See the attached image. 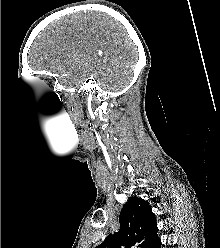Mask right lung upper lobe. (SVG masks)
<instances>
[{"label": "right lung upper lobe", "mask_w": 220, "mask_h": 248, "mask_svg": "<svg viewBox=\"0 0 220 248\" xmlns=\"http://www.w3.org/2000/svg\"><path fill=\"white\" fill-rule=\"evenodd\" d=\"M118 233L109 236L96 248H152L159 238L155 214L149 202L130 197L123 205L119 216Z\"/></svg>", "instance_id": "obj_1"}]
</instances>
